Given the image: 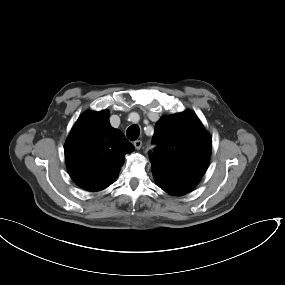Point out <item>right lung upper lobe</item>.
I'll return each mask as SVG.
<instances>
[{"instance_id":"obj_1","label":"right lung upper lobe","mask_w":285,"mask_h":285,"mask_svg":"<svg viewBox=\"0 0 285 285\" xmlns=\"http://www.w3.org/2000/svg\"><path fill=\"white\" fill-rule=\"evenodd\" d=\"M124 134L113 128L107 110L84 113L65 144V160L73 181L87 191H101L116 179L124 156L134 151Z\"/></svg>"}]
</instances>
